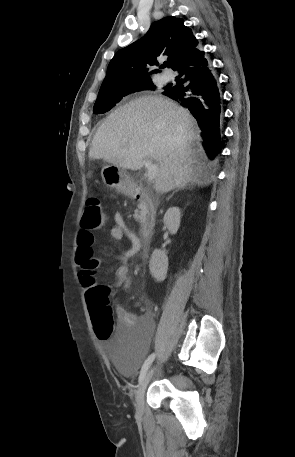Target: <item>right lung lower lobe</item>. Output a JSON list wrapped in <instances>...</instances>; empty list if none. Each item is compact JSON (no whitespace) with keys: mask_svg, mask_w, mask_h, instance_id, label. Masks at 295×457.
<instances>
[{"mask_svg":"<svg viewBox=\"0 0 295 457\" xmlns=\"http://www.w3.org/2000/svg\"><path fill=\"white\" fill-rule=\"evenodd\" d=\"M179 72V83L167 86L163 95L187 107L196 118L209 159L222 150L220 141L221 98L217 83L207 66L204 52L195 48L173 67Z\"/></svg>","mask_w":295,"mask_h":457,"instance_id":"98d812e1","label":"right lung lower lobe"}]
</instances>
